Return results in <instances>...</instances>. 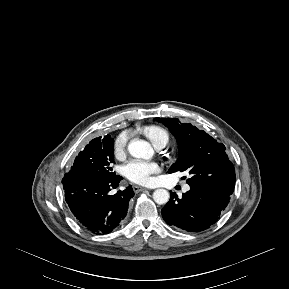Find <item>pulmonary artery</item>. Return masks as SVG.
<instances>
[{
    "instance_id": "obj_1",
    "label": "pulmonary artery",
    "mask_w": 289,
    "mask_h": 289,
    "mask_svg": "<svg viewBox=\"0 0 289 289\" xmlns=\"http://www.w3.org/2000/svg\"><path fill=\"white\" fill-rule=\"evenodd\" d=\"M166 142L164 141H161V142H158L157 144L154 145V147L157 149V150H160L162 148H164L166 146ZM190 189L189 185H185L183 190L184 191H188Z\"/></svg>"
}]
</instances>
